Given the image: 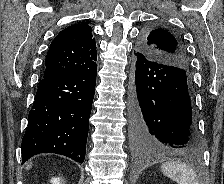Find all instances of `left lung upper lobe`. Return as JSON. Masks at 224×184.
Listing matches in <instances>:
<instances>
[{
    "label": "left lung upper lobe",
    "mask_w": 224,
    "mask_h": 184,
    "mask_svg": "<svg viewBox=\"0 0 224 184\" xmlns=\"http://www.w3.org/2000/svg\"><path fill=\"white\" fill-rule=\"evenodd\" d=\"M149 60L188 69V58L180 38L169 30L155 28L148 30L141 42L139 51Z\"/></svg>",
    "instance_id": "5c2ea615"
}]
</instances>
